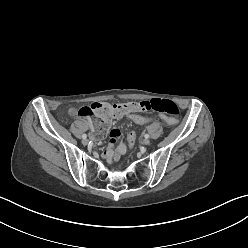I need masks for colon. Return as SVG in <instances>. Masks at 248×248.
I'll return each mask as SVG.
<instances>
[{
  "label": "colon",
  "instance_id": "colon-1",
  "mask_svg": "<svg viewBox=\"0 0 248 248\" xmlns=\"http://www.w3.org/2000/svg\"><path fill=\"white\" fill-rule=\"evenodd\" d=\"M150 110L165 113L171 116L179 114L177 104L167 99H153L150 101L126 102L119 104L95 103L92 106L81 107L78 110V116L84 119H93L95 132L94 136L97 140L102 141L107 136V131L111 129V118L119 117L126 111L148 112ZM129 112L127 117L129 121L135 123L137 127L151 126L155 124V117L146 114ZM136 135L133 131L127 135V143L129 147H133Z\"/></svg>",
  "mask_w": 248,
  "mask_h": 248
}]
</instances>
